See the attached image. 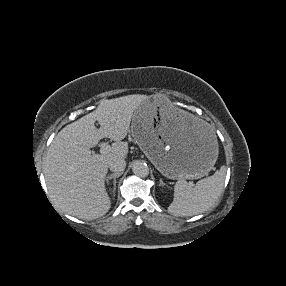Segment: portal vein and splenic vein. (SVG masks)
Returning <instances> with one entry per match:
<instances>
[{"instance_id":"obj_1","label":"portal vein and splenic vein","mask_w":286,"mask_h":286,"mask_svg":"<svg viewBox=\"0 0 286 286\" xmlns=\"http://www.w3.org/2000/svg\"><path fill=\"white\" fill-rule=\"evenodd\" d=\"M110 151H111V146L108 145V144H105V145H103V146L100 148V153H101L102 155H106V154H108Z\"/></svg>"}]
</instances>
